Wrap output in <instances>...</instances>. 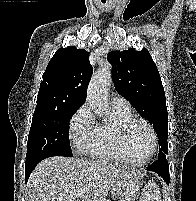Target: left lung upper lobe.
Listing matches in <instances>:
<instances>
[{"mask_svg": "<svg viewBox=\"0 0 196 201\" xmlns=\"http://www.w3.org/2000/svg\"><path fill=\"white\" fill-rule=\"evenodd\" d=\"M114 86L132 106L147 119L159 139L158 158L168 154V113L165 92L158 69L146 48L112 51Z\"/></svg>", "mask_w": 196, "mask_h": 201, "instance_id": "obj_1", "label": "left lung upper lobe"}]
</instances>
